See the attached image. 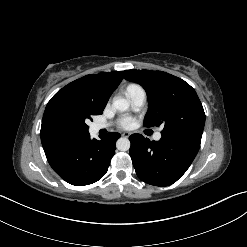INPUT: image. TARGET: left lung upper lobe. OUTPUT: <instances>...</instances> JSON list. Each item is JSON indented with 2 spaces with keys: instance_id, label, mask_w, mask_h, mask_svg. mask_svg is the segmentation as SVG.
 I'll use <instances>...</instances> for the list:
<instances>
[{
  "instance_id": "5c2ea615",
  "label": "left lung upper lobe",
  "mask_w": 247,
  "mask_h": 247,
  "mask_svg": "<svg viewBox=\"0 0 247 247\" xmlns=\"http://www.w3.org/2000/svg\"><path fill=\"white\" fill-rule=\"evenodd\" d=\"M128 81L140 84L148 97L145 127L163 125L162 136L200 148L205 123L203 106L184 80L162 71L126 70Z\"/></svg>"
}]
</instances>
